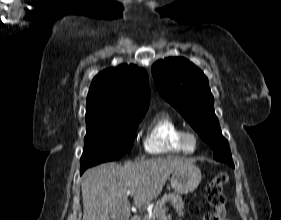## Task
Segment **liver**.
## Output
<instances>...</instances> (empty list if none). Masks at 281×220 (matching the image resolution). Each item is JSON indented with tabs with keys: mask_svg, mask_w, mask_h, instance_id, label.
Returning <instances> with one entry per match:
<instances>
[{
	"mask_svg": "<svg viewBox=\"0 0 281 220\" xmlns=\"http://www.w3.org/2000/svg\"><path fill=\"white\" fill-rule=\"evenodd\" d=\"M193 163L192 159L168 156L123 165L109 162L86 170L81 181L83 220H127V191L134 192L135 206L149 204L161 193L171 173Z\"/></svg>",
	"mask_w": 281,
	"mask_h": 220,
	"instance_id": "1",
	"label": "liver"
}]
</instances>
